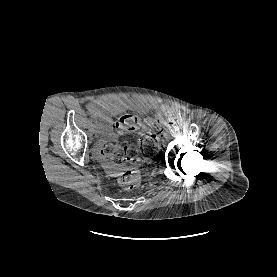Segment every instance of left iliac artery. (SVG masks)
Listing matches in <instances>:
<instances>
[{
    "label": "left iliac artery",
    "mask_w": 277,
    "mask_h": 277,
    "mask_svg": "<svg viewBox=\"0 0 277 277\" xmlns=\"http://www.w3.org/2000/svg\"><path fill=\"white\" fill-rule=\"evenodd\" d=\"M180 128H181V125H180V124H176V125L174 126V130L177 131V132L180 130Z\"/></svg>",
    "instance_id": "1"
}]
</instances>
